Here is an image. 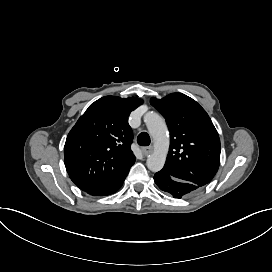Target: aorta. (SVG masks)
I'll list each match as a JSON object with an SVG mask.
<instances>
[{
    "mask_svg": "<svg viewBox=\"0 0 272 272\" xmlns=\"http://www.w3.org/2000/svg\"><path fill=\"white\" fill-rule=\"evenodd\" d=\"M149 135L154 141V152L148 156L146 164L150 171L158 172L165 164L169 147V132L163 117L153 111L144 115Z\"/></svg>",
    "mask_w": 272,
    "mask_h": 272,
    "instance_id": "1",
    "label": "aorta"
}]
</instances>
